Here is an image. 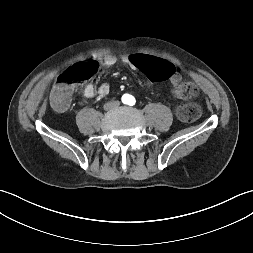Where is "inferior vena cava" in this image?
Segmentation results:
<instances>
[{"label":"inferior vena cava","instance_id":"inferior-vena-cava-1","mask_svg":"<svg viewBox=\"0 0 253 253\" xmlns=\"http://www.w3.org/2000/svg\"><path fill=\"white\" fill-rule=\"evenodd\" d=\"M115 103V105H118V102L116 101V102H114Z\"/></svg>","mask_w":253,"mask_h":253}]
</instances>
